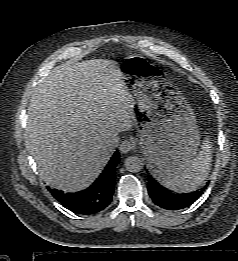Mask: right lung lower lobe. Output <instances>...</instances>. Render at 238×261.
I'll return each mask as SVG.
<instances>
[{
	"label": "right lung lower lobe",
	"instance_id": "obj_1",
	"mask_svg": "<svg viewBox=\"0 0 238 261\" xmlns=\"http://www.w3.org/2000/svg\"><path fill=\"white\" fill-rule=\"evenodd\" d=\"M119 161L116 151L100 177L87 189L76 193L51 190L53 196L71 211L90 215L105 209L112 201L115 185V167Z\"/></svg>",
	"mask_w": 238,
	"mask_h": 261
}]
</instances>
